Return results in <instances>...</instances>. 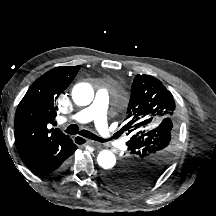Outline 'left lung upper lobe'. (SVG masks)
<instances>
[{"label": "left lung upper lobe", "mask_w": 216, "mask_h": 216, "mask_svg": "<svg viewBox=\"0 0 216 216\" xmlns=\"http://www.w3.org/2000/svg\"><path fill=\"white\" fill-rule=\"evenodd\" d=\"M121 129L130 139L120 165L108 171L105 182L123 193L139 191L155 182L172 159L179 134L173 95L155 77L136 75Z\"/></svg>", "instance_id": "obj_1"}]
</instances>
